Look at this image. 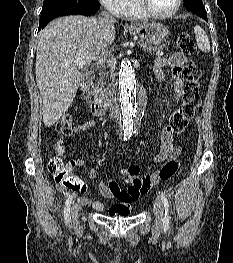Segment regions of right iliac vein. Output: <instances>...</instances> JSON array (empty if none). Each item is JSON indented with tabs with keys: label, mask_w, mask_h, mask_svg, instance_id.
I'll use <instances>...</instances> for the list:
<instances>
[{
	"label": "right iliac vein",
	"mask_w": 233,
	"mask_h": 263,
	"mask_svg": "<svg viewBox=\"0 0 233 263\" xmlns=\"http://www.w3.org/2000/svg\"><path fill=\"white\" fill-rule=\"evenodd\" d=\"M71 217L74 224H78L79 222V206L73 205L71 208Z\"/></svg>",
	"instance_id": "right-iliac-vein-1"
}]
</instances>
